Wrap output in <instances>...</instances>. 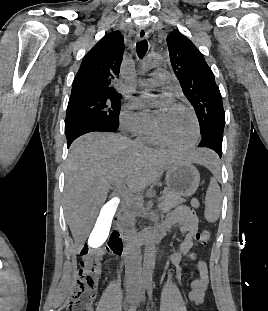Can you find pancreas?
<instances>
[{
  "label": "pancreas",
  "instance_id": "cf45deb5",
  "mask_svg": "<svg viewBox=\"0 0 268 311\" xmlns=\"http://www.w3.org/2000/svg\"><path fill=\"white\" fill-rule=\"evenodd\" d=\"M159 209L166 213L169 212L171 209L175 208L176 206H178L179 204H182L185 200L183 198H181L180 196L173 194L172 192H170L168 189L164 190L162 193V196L159 200ZM132 207L134 209L140 208L141 207V202L140 201H134L132 202ZM132 214L130 211L125 212V214L123 215L122 221H121V225L124 224V221L128 218V216Z\"/></svg>",
  "mask_w": 268,
  "mask_h": 311
}]
</instances>
